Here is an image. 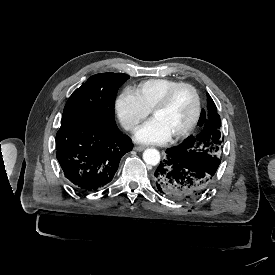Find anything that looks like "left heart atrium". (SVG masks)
<instances>
[{
  "mask_svg": "<svg viewBox=\"0 0 275 275\" xmlns=\"http://www.w3.org/2000/svg\"><path fill=\"white\" fill-rule=\"evenodd\" d=\"M168 138L167 132L154 119L147 122L135 133V139L141 143H159Z\"/></svg>",
  "mask_w": 275,
  "mask_h": 275,
  "instance_id": "1",
  "label": "left heart atrium"
}]
</instances>
